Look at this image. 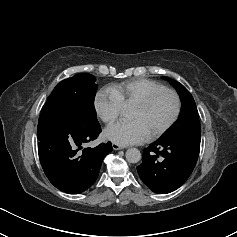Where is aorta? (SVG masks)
Instances as JSON below:
<instances>
[{
    "mask_svg": "<svg viewBox=\"0 0 237 237\" xmlns=\"http://www.w3.org/2000/svg\"><path fill=\"white\" fill-rule=\"evenodd\" d=\"M125 156L129 163H138L142 157L141 152L137 148H129Z\"/></svg>",
    "mask_w": 237,
    "mask_h": 237,
    "instance_id": "762f6f07",
    "label": "aorta"
}]
</instances>
